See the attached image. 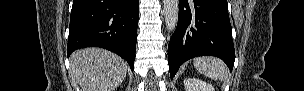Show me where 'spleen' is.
I'll use <instances>...</instances> for the list:
<instances>
[{
	"label": "spleen",
	"instance_id": "obj_1",
	"mask_svg": "<svg viewBox=\"0 0 304 91\" xmlns=\"http://www.w3.org/2000/svg\"><path fill=\"white\" fill-rule=\"evenodd\" d=\"M194 67L205 76L214 80H224L227 77V68L218 58L203 56L194 60Z\"/></svg>",
	"mask_w": 304,
	"mask_h": 91
}]
</instances>
